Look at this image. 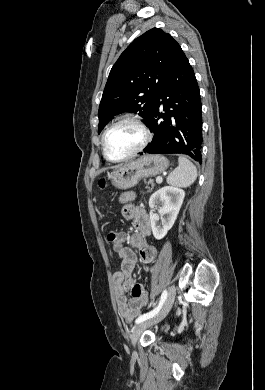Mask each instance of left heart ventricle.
Segmentation results:
<instances>
[{
  "label": "left heart ventricle",
  "instance_id": "b2bd125f",
  "mask_svg": "<svg viewBox=\"0 0 265 390\" xmlns=\"http://www.w3.org/2000/svg\"><path fill=\"white\" fill-rule=\"evenodd\" d=\"M142 139L140 130L123 123L113 128L106 139V149L112 159H120L136 148Z\"/></svg>",
  "mask_w": 265,
  "mask_h": 390
}]
</instances>
